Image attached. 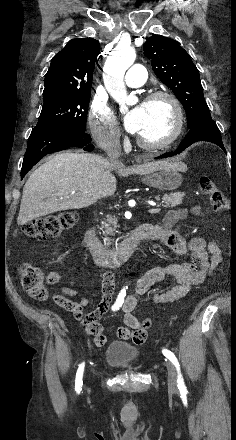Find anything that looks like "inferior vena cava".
<instances>
[{"mask_svg":"<svg viewBox=\"0 0 236 440\" xmlns=\"http://www.w3.org/2000/svg\"><path fill=\"white\" fill-rule=\"evenodd\" d=\"M120 154H121V144L119 139H112L110 142V146L107 149V155L109 161L114 165L121 164V162L118 160Z\"/></svg>","mask_w":236,"mask_h":440,"instance_id":"inferior-vena-cava-1","label":"inferior vena cava"}]
</instances>
